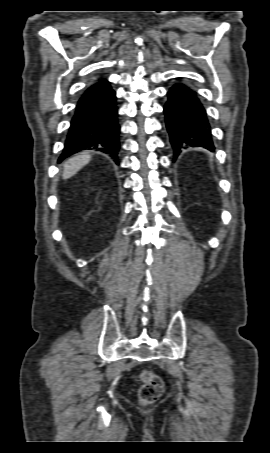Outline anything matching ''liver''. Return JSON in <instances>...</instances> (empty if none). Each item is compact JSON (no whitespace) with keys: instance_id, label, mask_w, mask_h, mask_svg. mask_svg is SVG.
<instances>
[{"instance_id":"6515ba94","label":"liver","mask_w":270,"mask_h":453,"mask_svg":"<svg viewBox=\"0 0 270 453\" xmlns=\"http://www.w3.org/2000/svg\"><path fill=\"white\" fill-rule=\"evenodd\" d=\"M90 160L91 156L89 154H79L68 159L64 163L63 179H69L74 176L81 168L88 164Z\"/></svg>"}]
</instances>
